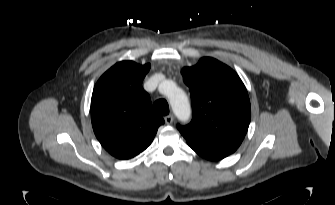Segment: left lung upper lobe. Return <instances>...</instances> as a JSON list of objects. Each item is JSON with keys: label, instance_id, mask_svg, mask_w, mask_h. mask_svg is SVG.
Wrapping results in <instances>:
<instances>
[{"label": "left lung upper lobe", "instance_id": "1", "mask_svg": "<svg viewBox=\"0 0 335 205\" xmlns=\"http://www.w3.org/2000/svg\"><path fill=\"white\" fill-rule=\"evenodd\" d=\"M190 89L193 117L177 128L187 143L231 154L243 141L251 118L250 100L240 77L214 58H201L181 71Z\"/></svg>", "mask_w": 335, "mask_h": 205}]
</instances>
